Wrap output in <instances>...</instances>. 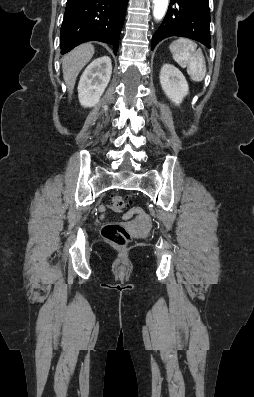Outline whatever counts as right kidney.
Masks as SVG:
<instances>
[{
	"mask_svg": "<svg viewBox=\"0 0 254 397\" xmlns=\"http://www.w3.org/2000/svg\"><path fill=\"white\" fill-rule=\"evenodd\" d=\"M111 74L112 64L108 56L99 57L87 66L78 84V97L82 106L93 107L99 102Z\"/></svg>",
	"mask_w": 254,
	"mask_h": 397,
	"instance_id": "right-kidney-1",
	"label": "right kidney"
}]
</instances>
